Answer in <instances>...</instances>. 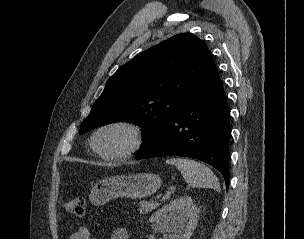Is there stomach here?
I'll return each instance as SVG.
<instances>
[{"instance_id": "0dacf381", "label": "stomach", "mask_w": 304, "mask_h": 239, "mask_svg": "<svg viewBox=\"0 0 304 239\" xmlns=\"http://www.w3.org/2000/svg\"><path fill=\"white\" fill-rule=\"evenodd\" d=\"M162 180L153 173L111 176L97 182L89 194L92 204L103 205L117 197L143 198L155 193Z\"/></svg>"}]
</instances>
